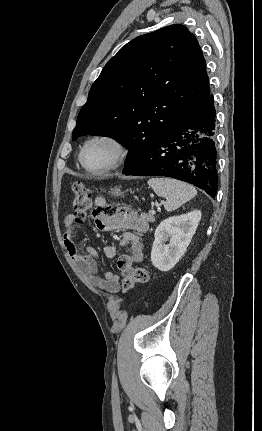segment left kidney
<instances>
[{"instance_id": "obj_1", "label": "left kidney", "mask_w": 262, "mask_h": 431, "mask_svg": "<svg viewBox=\"0 0 262 431\" xmlns=\"http://www.w3.org/2000/svg\"><path fill=\"white\" fill-rule=\"evenodd\" d=\"M201 211L194 210L163 220L155 231L151 262L161 271L171 270L185 254L198 227ZM169 240V244H165Z\"/></svg>"}]
</instances>
